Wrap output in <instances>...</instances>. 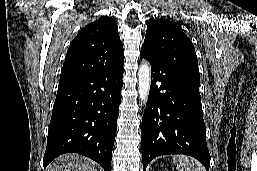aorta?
Segmentation results:
<instances>
[{"label": "aorta", "mask_w": 257, "mask_h": 171, "mask_svg": "<svg viewBox=\"0 0 257 171\" xmlns=\"http://www.w3.org/2000/svg\"><path fill=\"white\" fill-rule=\"evenodd\" d=\"M151 85V68L147 61H144L138 71V91L141 103H146L149 97Z\"/></svg>", "instance_id": "obj_1"}]
</instances>
